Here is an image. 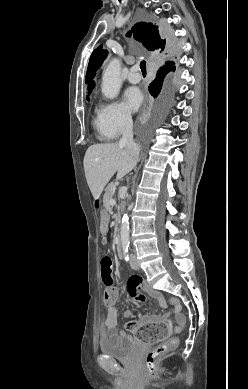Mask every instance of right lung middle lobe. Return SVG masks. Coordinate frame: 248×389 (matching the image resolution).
<instances>
[{
    "label": "right lung middle lobe",
    "instance_id": "obj_1",
    "mask_svg": "<svg viewBox=\"0 0 248 389\" xmlns=\"http://www.w3.org/2000/svg\"><path fill=\"white\" fill-rule=\"evenodd\" d=\"M171 71H175V67ZM151 94L154 96V98L159 95L160 102L164 105V107H168L171 104L175 94V87L169 78L164 76L162 80L158 82L156 87L153 88Z\"/></svg>",
    "mask_w": 248,
    "mask_h": 389
}]
</instances>
